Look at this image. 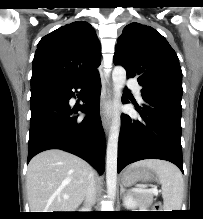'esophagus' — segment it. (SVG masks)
Returning <instances> with one entry per match:
<instances>
[{
  "label": "esophagus",
  "instance_id": "34e87169",
  "mask_svg": "<svg viewBox=\"0 0 203 219\" xmlns=\"http://www.w3.org/2000/svg\"><path fill=\"white\" fill-rule=\"evenodd\" d=\"M112 99H113V89L110 81H107L106 86L103 88L101 96V119L102 125L105 132L108 133L111 125V111H112Z\"/></svg>",
  "mask_w": 203,
  "mask_h": 219
}]
</instances>
